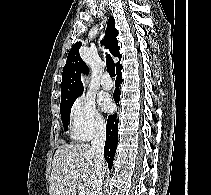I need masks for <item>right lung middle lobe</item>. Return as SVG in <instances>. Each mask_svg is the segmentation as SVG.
Wrapping results in <instances>:
<instances>
[{"label": "right lung middle lobe", "mask_w": 211, "mask_h": 195, "mask_svg": "<svg viewBox=\"0 0 211 195\" xmlns=\"http://www.w3.org/2000/svg\"><path fill=\"white\" fill-rule=\"evenodd\" d=\"M74 101L75 99L60 104L61 118L65 131H67L68 123L70 121V111Z\"/></svg>", "instance_id": "dd1d6c3e"}]
</instances>
